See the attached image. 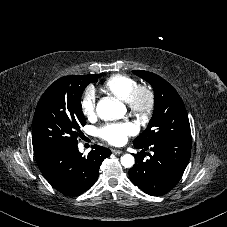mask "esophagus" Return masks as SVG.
<instances>
[{"label": "esophagus", "instance_id": "34e87169", "mask_svg": "<svg viewBox=\"0 0 227 227\" xmlns=\"http://www.w3.org/2000/svg\"><path fill=\"white\" fill-rule=\"evenodd\" d=\"M111 151L114 154H122V151L121 150H118V149H112Z\"/></svg>", "mask_w": 227, "mask_h": 227}]
</instances>
